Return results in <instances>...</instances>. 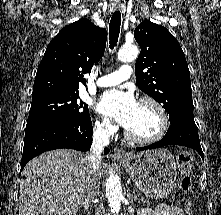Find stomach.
Returning a JSON list of instances; mask_svg holds the SVG:
<instances>
[{
	"label": "stomach",
	"mask_w": 221,
	"mask_h": 215,
	"mask_svg": "<svg viewBox=\"0 0 221 215\" xmlns=\"http://www.w3.org/2000/svg\"><path fill=\"white\" fill-rule=\"evenodd\" d=\"M135 186L147 197H167L177 186L174 156L165 149L129 153L119 160Z\"/></svg>",
	"instance_id": "0dacf381"
}]
</instances>
